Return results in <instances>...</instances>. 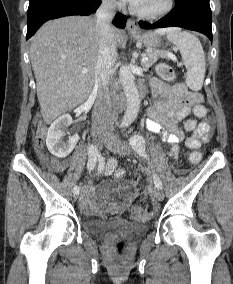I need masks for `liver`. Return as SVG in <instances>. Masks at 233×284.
<instances>
[{"label":"liver","mask_w":233,"mask_h":284,"mask_svg":"<svg viewBox=\"0 0 233 284\" xmlns=\"http://www.w3.org/2000/svg\"><path fill=\"white\" fill-rule=\"evenodd\" d=\"M116 46L125 42L114 28ZM99 29L92 17L69 16L45 23L31 40L30 59L46 124L82 104L90 95L99 54ZM86 73H82V69Z\"/></svg>","instance_id":"obj_1"}]
</instances>
